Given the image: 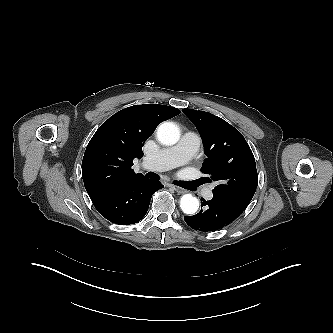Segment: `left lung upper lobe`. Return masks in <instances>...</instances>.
I'll list each match as a JSON object with an SVG mask.
<instances>
[{"mask_svg":"<svg viewBox=\"0 0 333 333\" xmlns=\"http://www.w3.org/2000/svg\"><path fill=\"white\" fill-rule=\"evenodd\" d=\"M198 129L207 156L202 172L216 181L213 195L245 210L258 184L254 155L243 135L225 120L205 111L183 109Z\"/></svg>","mask_w":333,"mask_h":333,"instance_id":"left-lung-upper-lobe-1","label":"left lung upper lobe"}]
</instances>
